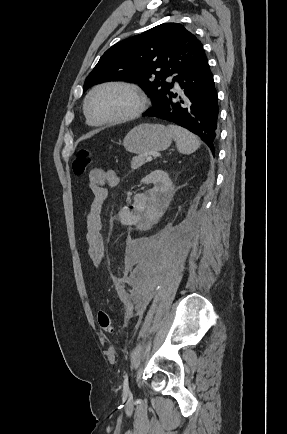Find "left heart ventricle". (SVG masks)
I'll return each instance as SVG.
<instances>
[{
    "mask_svg": "<svg viewBox=\"0 0 287 434\" xmlns=\"http://www.w3.org/2000/svg\"><path fill=\"white\" fill-rule=\"evenodd\" d=\"M137 105V98L129 90L109 86L94 93L89 110L96 119H114L129 114Z\"/></svg>",
    "mask_w": 287,
    "mask_h": 434,
    "instance_id": "left-heart-ventricle-1",
    "label": "left heart ventricle"
}]
</instances>
